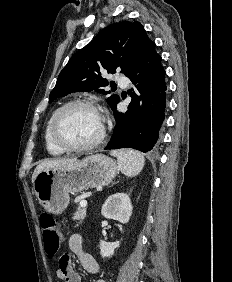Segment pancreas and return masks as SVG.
Wrapping results in <instances>:
<instances>
[{"label":"pancreas","instance_id":"pancreas-1","mask_svg":"<svg viewBox=\"0 0 232 282\" xmlns=\"http://www.w3.org/2000/svg\"><path fill=\"white\" fill-rule=\"evenodd\" d=\"M86 217V208L78 207L77 211L74 213V220L82 222Z\"/></svg>","mask_w":232,"mask_h":282}]
</instances>
